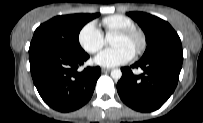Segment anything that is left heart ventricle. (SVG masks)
Masks as SVG:
<instances>
[{
    "instance_id": "obj_1",
    "label": "left heart ventricle",
    "mask_w": 203,
    "mask_h": 123,
    "mask_svg": "<svg viewBox=\"0 0 203 123\" xmlns=\"http://www.w3.org/2000/svg\"><path fill=\"white\" fill-rule=\"evenodd\" d=\"M110 44L112 46L125 47L127 50L134 53L139 45V38L135 35L125 37L114 34L110 40Z\"/></svg>"
}]
</instances>
